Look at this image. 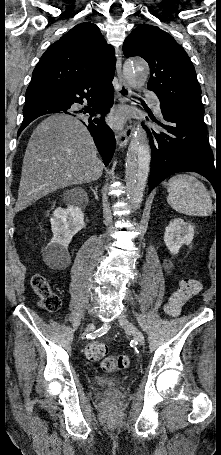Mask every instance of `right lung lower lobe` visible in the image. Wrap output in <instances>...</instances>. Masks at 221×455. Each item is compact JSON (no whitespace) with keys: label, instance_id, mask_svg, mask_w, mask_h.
Wrapping results in <instances>:
<instances>
[{"label":"right lung lower lobe","instance_id":"1","mask_svg":"<svg viewBox=\"0 0 221 455\" xmlns=\"http://www.w3.org/2000/svg\"><path fill=\"white\" fill-rule=\"evenodd\" d=\"M113 77L98 73L76 80L54 94L26 102L23 108L24 119L18 131H21L39 116L50 113H66L73 116L89 114V119L81 120L87 127L107 166L115 150V137L110 127L105 123L104 116L113 105ZM86 102L83 110H75L74 104ZM102 115L101 119L92 117L95 113Z\"/></svg>","mask_w":221,"mask_h":455}]
</instances>
